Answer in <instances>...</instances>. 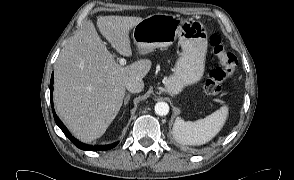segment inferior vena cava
<instances>
[{
    "mask_svg": "<svg viewBox=\"0 0 294 180\" xmlns=\"http://www.w3.org/2000/svg\"><path fill=\"white\" fill-rule=\"evenodd\" d=\"M144 88V82L141 79H131L126 84V89L131 93H139Z\"/></svg>",
    "mask_w": 294,
    "mask_h": 180,
    "instance_id": "obj_1",
    "label": "inferior vena cava"
}]
</instances>
